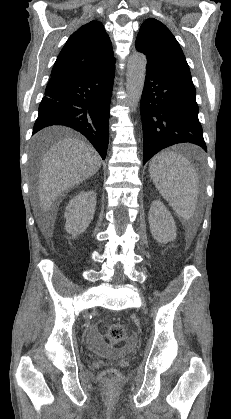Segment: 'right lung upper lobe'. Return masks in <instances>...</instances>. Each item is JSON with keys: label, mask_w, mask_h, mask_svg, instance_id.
Here are the masks:
<instances>
[{"label": "right lung upper lobe", "mask_w": 231, "mask_h": 419, "mask_svg": "<svg viewBox=\"0 0 231 419\" xmlns=\"http://www.w3.org/2000/svg\"><path fill=\"white\" fill-rule=\"evenodd\" d=\"M114 63L112 44L103 24L91 21L69 37L51 76L95 72Z\"/></svg>", "instance_id": "obj_1"}]
</instances>
